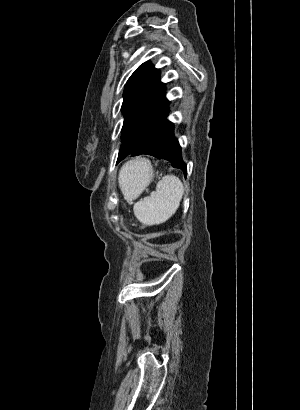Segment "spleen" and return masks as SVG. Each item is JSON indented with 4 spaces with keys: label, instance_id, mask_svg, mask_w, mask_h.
I'll use <instances>...</instances> for the list:
<instances>
[{
    "label": "spleen",
    "instance_id": "1",
    "mask_svg": "<svg viewBox=\"0 0 300 410\" xmlns=\"http://www.w3.org/2000/svg\"><path fill=\"white\" fill-rule=\"evenodd\" d=\"M143 169L139 161H130L120 170L119 186L128 200L132 199L130 188L133 176L135 172L138 170L142 172ZM183 194L184 187L181 180L174 175H166L157 183L155 192L134 205V214L146 226L161 224L176 212Z\"/></svg>",
    "mask_w": 300,
    "mask_h": 410
}]
</instances>
